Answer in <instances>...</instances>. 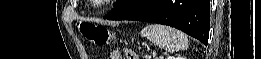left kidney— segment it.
Instances as JSON below:
<instances>
[{
    "instance_id": "1",
    "label": "left kidney",
    "mask_w": 261,
    "mask_h": 59,
    "mask_svg": "<svg viewBox=\"0 0 261 59\" xmlns=\"http://www.w3.org/2000/svg\"><path fill=\"white\" fill-rule=\"evenodd\" d=\"M167 59H185V57H173V56H169Z\"/></svg>"
}]
</instances>
